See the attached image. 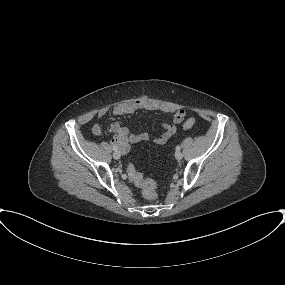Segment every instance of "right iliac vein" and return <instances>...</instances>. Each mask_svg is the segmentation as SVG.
Wrapping results in <instances>:
<instances>
[{
  "instance_id": "1",
  "label": "right iliac vein",
  "mask_w": 285,
  "mask_h": 285,
  "mask_svg": "<svg viewBox=\"0 0 285 285\" xmlns=\"http://www.w3.org/2000/svg\"><path fill=\"white\" fill-rule=\"evenodd\" d=\"M120 157H121V152L120 151L116 150V151L113 152V158L114 159H119Z\"/></svg>"
}]
</instances>
